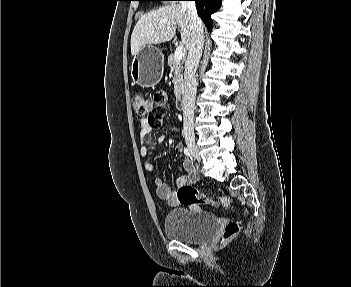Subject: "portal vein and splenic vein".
<instances>
[{"instance_id": "portal-vein-and-splenic-vein-1", "label": "portal vein and splenic vein", "mask_w": 351, "mask_h": 287, "mask_svg": "<svg viewBox=\"0 0 351 287\" xmlns=\"http://www.w3.org/2000/svg\"><path fill=\"white\" fill-rule=\"evenodd\" d=\"M185 48L183 46H178L176 48L175 54H174V58L176 61H181L182 58L185 56Z\"/></svg>"}]
</instances>
